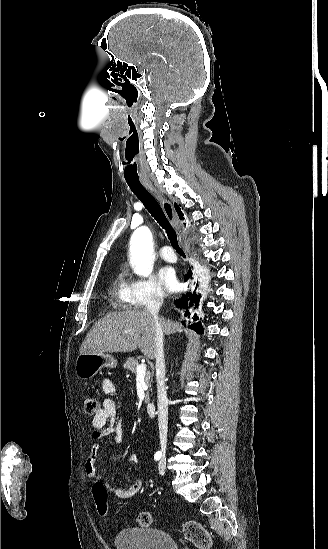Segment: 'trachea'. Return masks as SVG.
I'll return each instance as SVG.
<instances>
[{"instance_id": "obj_1", "label": "trachea", "mask_w": 328, "mask_h": 549, "mask_svg": "<svg viewBox=\"0 0 328 549\" xmlns=\"http://www.w3.org/2000/svg\"><path fill=\"white\" fill-rule=\"evenodd\" d=\"M127 184L129 185L132 192L143 203L144 207L148 210L152 217L166 231L168 239L176 252H178V254L180 255H185L178 244L176 232H174V230L172 229L170 223L166 218V215L164 214L157 200L154 199L153 195H151L148 190L143 187L140 180L127 181Z\"/></svg>"}]
</instances>
